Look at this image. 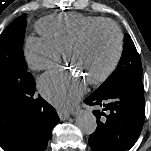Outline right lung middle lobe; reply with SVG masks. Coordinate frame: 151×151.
<instances>
[{
	"instance_id": "obj_1",
	"label": "right lung middle lobe",
	"mask_w": 151,
	"mask_h": 151,
	"mask_svg": "<svg viewBox=\"0 0 151 151\" xmlns=\"http://www.w3.org/2000/svg\"><path fill=\"white\" fill-rule=\"evenodd\" d=\"M26 17L27 15L23 14L16 18L0 35V75L8 77L10 84L13 85L0 98V103L16 107L21 94L18 90V81L27 74L23 54ZM14 88L16 90H13Z\"/></svg>"
}]
</instances>
